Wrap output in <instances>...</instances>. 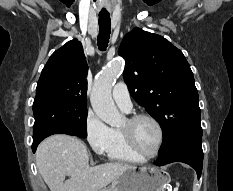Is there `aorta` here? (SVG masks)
Masks as SVG:
<instances>
[{
  "label": "aorta",
  "instance_id": "762f6f07",
  "mask_svg": "<svg viewBox=\"0 0 233 191\" xmlns=\"http://www.w3.org/2000/svg\"><path fill=\"white\" fill-rule=\"evenodd\" d=\"M123 68L122 59H116L107 65L95 80L90 97L95 114L112 127L119 126L123 120V115L117 110L111 95L114 82Z\"/></svg>",
  "mask_w": 233,
  "mask_h": 191
}]
</instances>
